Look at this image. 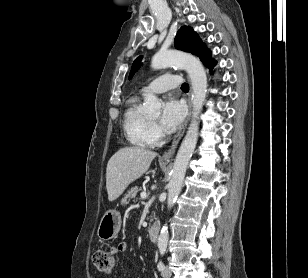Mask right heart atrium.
Masks as SVG:
<instances>
[{"mask_svg": "<svg viewBox=\"0 0 308 278\" xmlns=\"http://www.w3.org/2000/svg\"><path fill=\"white\" fill-rule=\"evenodd\" d=\"M163 138V132L161 128L154 122H151L150 124V130H149V139L151 145H158Z\"/></svg>", "mask_w": 308, "mask_h": 278, "instance_id": "1", "label": "right heart atrium"}]
</instances>
